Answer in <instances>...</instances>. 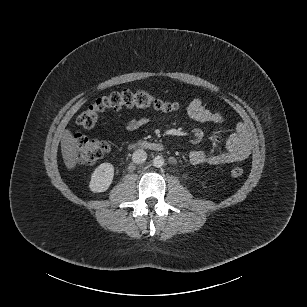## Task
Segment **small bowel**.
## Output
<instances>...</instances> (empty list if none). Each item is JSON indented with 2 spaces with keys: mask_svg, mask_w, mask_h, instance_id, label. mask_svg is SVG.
<instances>
[{
  "mask_svg": "<svg viewBox=\"0 0 307 307\" xmlns=\"http://www.w3.org/2000/svg\"><path fill=\"white\" fill-rule=\"evenodd\" d=\"M190 118L198 122L213 124L226 123V116L210 107L205 101L195 98L187 108ZM148 116H132L125 123L128 131L138 130L150 122ZM251 152V141L246 126L243 123L235 125L233 133L226 141V151L209 153L204 150H194L190 153V162L194 165H221L236 163L245 160Z\"/></svg>",
  "mask_w": 307,
  "mask_h": 307,
  "instance_id": "small-bowel-1",
  "label": "small bowel"
}]
</instances>
